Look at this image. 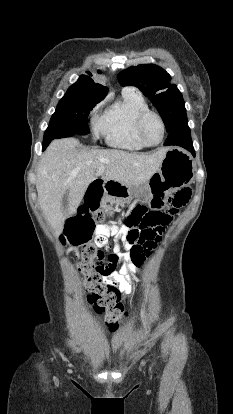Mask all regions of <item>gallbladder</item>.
<instances>
[{
	"label": "gallbladder",
	"mask_w": 233,
	"mask_h": 414,
	"mask_svg": "<svg viewBox=\"0 0 233 414\" xmlns=\"http://www.w3.org/2000/svg\"><path fill=\"white\" fill-rule=\"evenodd\" d=\"M69 205L67 202V198H64L63 202H62V210L64 213H66L68 211Z\"/></svg>",
	"instance_id": "gallbladder-1"
}]
</instances>
